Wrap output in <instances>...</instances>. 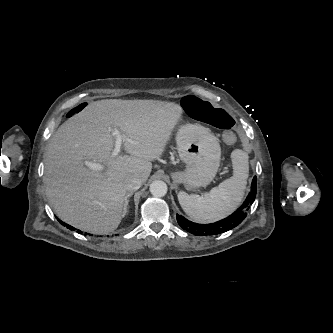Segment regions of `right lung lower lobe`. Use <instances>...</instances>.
I'll return each instance as SVG.
<instances>
[{
  "label": "right lung lower lobe",
  "instance_id": "1",
  "mask_svg": "<svg viewBox=\"0 0 333 333\" xmlns=\"http://www.w3.org/2000/svg\"><path fill=\"white\" fill-rule=\"evenodd\" d=\"M59 222H60L62 225L67 226L70 230H75V228H73L72 226H70V225H68V224H66V223H64V222H62V221H60V220H59ZM78 233H81V231L78 230Z\"/></svg>",
  "mask_w": 333,
  "mask_h": 333
}]
</instances>
